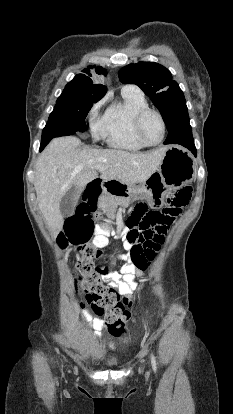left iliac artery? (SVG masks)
Returning <instances> with one entry per match:
<instances>
[{"label":"left iliac artery","instance_id":"obj_1","mask_svg":"<svg viewBox=\"0 0 233 414\" xmlns=\"http://www.w3.org/2000/svg\"><path fill=\"white\" fill-rule=\"evenodd\" d=\"M151 363H152L153 370L156 371V369H157L156 359H155V356L153 354H151Z\"/></svg>","mask_w":233,"mask_h":414}]
</instances>
